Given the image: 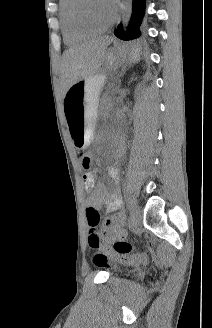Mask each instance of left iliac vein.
Returning <instances> with one entry per match:
<instances>
[{
  "instance_id": "obj_1",
  "label": "left iliac vein",
  "mask_w": 212,
  "mask_h": 328,
  "mask_svg": "<svg viewBox=\"0 0 212 328\" xmlns=\"http://www.w3.org/2000/svg\"><path fill=\"white\" fill-rule=\"evenodd\" d=\"M142 220V214L137 206H134L131 213V225L137 227Z\"/></svg>"
}]
</instances>
